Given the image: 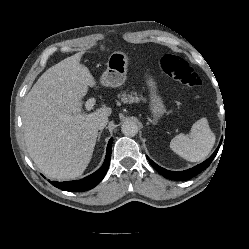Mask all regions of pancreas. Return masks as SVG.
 Returning <instances> with one entry per match:
<instances>
[{
    "mask_svg": "<svg viewBox=\"0 0 249 249\" xmlns=\"http://www.w3.org/2000/svg\"><path fill=\"white\" fill-rule=\"evenodd\" d=\"M118 97H120L121 101L124 103H138L141 100L145 101L143 96L140 94L138 95L135 91H132L130 93L122 92L121 95L119 94Z\"/></svg>",
    "mask_w": 249,
    "mask_h": 249,
    "instance_id": "1",
    "label": "pancreas"
}]
</instances>
